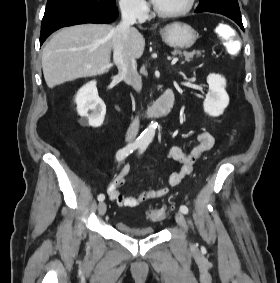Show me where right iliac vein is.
Listing matches in <instances>:
<instances>
[{"instance_id":"obj_1","label":"right iliac vein","mask_w":280,"mask_h":283,"mask_svg":"<svg viewBox=\"0 0 280 283\" xmlns=\"http://www.w3.org/2000/svg\"><path fill=\"white\" fill-rule=\"evenodd\" d=\"M98 213L99 215H104L106 213V204L104 202H100L98 205Z\"/></svg>"}]
</instances>
